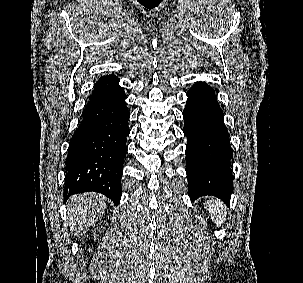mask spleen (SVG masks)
<instances>
[{
	"label": "spleen",
	"instance_id": "1",
	"mask_svg": "<svg viewBox=\"0 0 303 283\" xmlns=\"http://www.w3.org/2000/svg\"><path fill=\"white\" fill-rule=\"evenodd\" d=\"M207 210L210 213L212 221L221 227L226 220L227 212L224 209L223 203L216 198H211L205 203Z\"/></svg>",
	"mask_w": 303,
	"mask_h": 283
}]
</instances>
